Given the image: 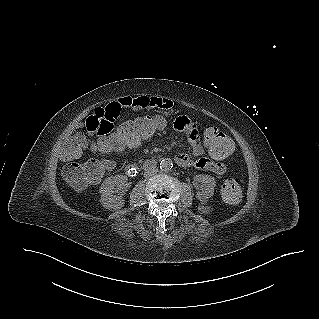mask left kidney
<instances>
[{
	"label": "left kidney",
	"mask_w": 319,
	"mask_h": 319,
	"mask_svg": "<svg viewBox=\"0 0 319 319\" xmlns=\"http://www.w3.org/2000/svg\"><path fill=\"white\" fill-rule=\"evenodd\" d=\"M194 181L201 182L203 186L202 191L197 192L196 198L202 203H206L214 194V189L216 186L214 177L210 175L199 174L194 177Z\"/></svg>",
	"instance_id": "1"
}]
</instances>
